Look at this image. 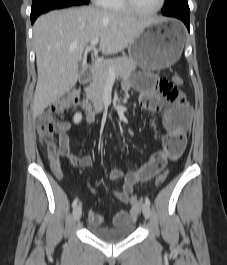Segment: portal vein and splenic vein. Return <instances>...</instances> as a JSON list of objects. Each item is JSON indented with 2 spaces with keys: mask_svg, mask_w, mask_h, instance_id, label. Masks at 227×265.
Returning a JSON list of instances; mask_svg holds the SVG:
<instances>
[{
  "mask_svg": "<svg viewBox=\"0 0 227 265\" xmlns=\"http://www.w3.org/2000/svg\"><path fill=\"white\" fill-rule=\"evenodd\" d=\"M99 42V38H96V39H93L91 42H90V47H95ZM109 76H115V68L113 67H110L109 68Z\"/></svg>",
  "mask_w": 227,
  "mask_h": 265,
  "instance_id": "18ae733b",
  "label": "portal vein and splenic vein"
}]
</instances>
